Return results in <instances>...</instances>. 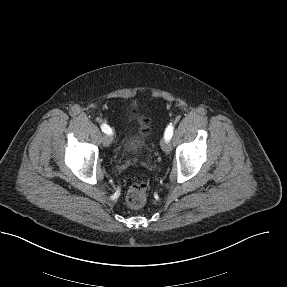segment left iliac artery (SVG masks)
<instances>
[{"label": "left iliac artery", "instance_id": "1", "mask_svg": "<svg viewBox=\"0 0 287 287\" xmlns=\"http://www.w3.org/2000/svg\"><path fill=\"white\" fill-rule=\"evenodd\" d=\"M173 131H174V127H173V125L170 123V124L167 126L166 130H165L164 138L169 141V140L172 138Z\"/></svg>", "mask_w": 287, "mask_h": 287}]
</instances>
